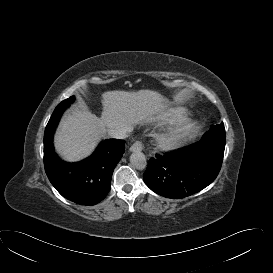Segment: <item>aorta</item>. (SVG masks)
Instances as JSON below:
<instances>
[{
  "label": "aorta",
  "instance_id": "aorta-1",
  "mask_svg": "<svg viewBox=\"0 0 273 273\" xmlns=\"http://www.w3.org/2000/svg\"><path fill=\"white\" fill-rule=\"evenodd\" d=\"M130 163L137 170H144L147 166L145 155L140 151H135L131 154Z\"/></svg>",
  "mask_w": 273,
  "mask_h": 273
}]
</instances>
